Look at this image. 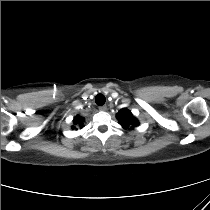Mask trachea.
<instances>
[{"instance_id": "1", "label": "trachea", "mask_w": 210, "mask_h": 210, "mask_svg": "<svg viewBox=\"0 0 210 210\" xmlns=\"http://www.w3.org/2000/svg\"><path fill=\"white\" fill-rule=\"evenodd\" d=\"M106 101V98L103 94H98L96 97H95V102L98 106H102L104 105Z\"/></svg>"}]
</instances>
